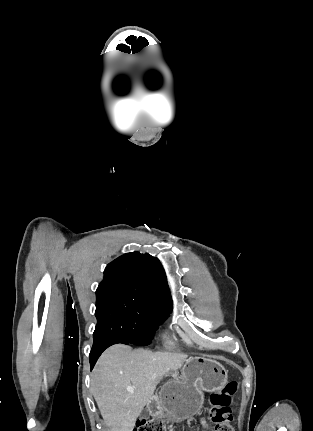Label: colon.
Wrapping results in <instances>:
<instances>
[{
  "instance_id": "colon-1",
  "label": "colon",
  "mask_w": 313,
  "mask_h": 431,
  "mask_svg": "<svg viewBox=\"0 0 313 431\" xmlns=\"http://www.w3.org/2000/svg\"><path fill=\"white\" fill-rule=\"evenodd\" d=\"M236 392L237 383L230 381L222 389L211 394L209 417L214 424L213 431H233L230 404ZM134 431H167V427L161 420L143 419L137 423Z\"/></svg>"
}]
</instances>
